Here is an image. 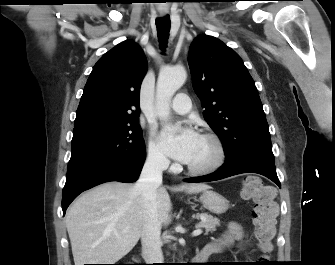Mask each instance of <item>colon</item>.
Here are the masks:
<instances>
[{"label":"colon","mask_w":335,"mask_h":265,"mask_svg":"<svg viewBox=\"0 0 335 265\" xmlns=\"http://www.w3.org/2000/svg\"><path fill=\"white\" fill-rule=\"evenodd\" d=\"M241 196L245 200H252L255 204L253 211L254 233L258 246L263 255L260 265H267V255L271 252L272 240L275 236L278 207L275 202V191L271 186L263 184L260 178L249 176L244 180Z\"/></svg>","instance_id":"5ec220e1"}]
</instances>
